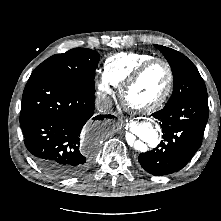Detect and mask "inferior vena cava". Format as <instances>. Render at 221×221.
<instances>
[{
	"label": "inferior vena cava",
	"instance_id": "1",
	"mask_svg": "<svg viewBox=\"0 0 221 221\" xmlns=\"http://www.w3.org/2000/svg\"><path fill=\"white\" fill-rule=\"evenodd\" d=\"M95 105L99 112H109L112 109V100L107 96H101L96 99Z\"/></svg>",
	"mask_w": 221,
	"mask_h": 221
}]
</instances>
